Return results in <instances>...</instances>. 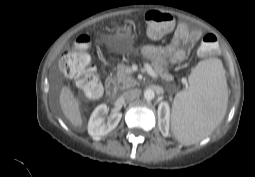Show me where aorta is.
<instances>
[{"mask_svg": "<svg viewBox=\"0 0 255 177\" xmlns=\"http://www.w3.org/2000/svg\"><path fill=\"white\" fill-rule=\"evenodd\" d=\"M155 97V93L152 89H146L144 91V98L148 101H151L152 99H154Z\"/></svg>", "mask_w": 255, "mask_h": 177, "instance_id": "762f6f07", "label": "aorta"}]
</instances>
